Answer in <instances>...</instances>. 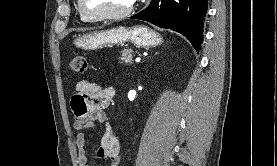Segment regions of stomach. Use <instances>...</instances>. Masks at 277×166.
Wrapping results in <instances>:
<instances>
[{
    "label": "stomach",
    "mask_w": 277,
    "mask_h": 166,
    "mask_svg": "<svg viewBox=\"0 0 277 166\" xmlns=\"http://www.w3.org/2000/svg\"><path fill=\"white\" fill-rule=\"evenodd\" d=\"M126 42H131L137 47L149 48L160 45L162 38L155 31L145 26L137 25L131 28L121 26L109 30L94 31L74 39L75 46L84 50L122 45Z\"/></svg>",
    "instance_id": "0dacf381"
}]
</instances>
